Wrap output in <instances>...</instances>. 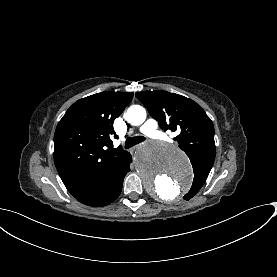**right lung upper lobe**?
I'll use <instances>...</instances> for the list:
<instances>
[{"instance_id": "right-lung-upper-lobe-1", "label": "right lung upper lobe", "mask_w": 277, "mask_h": 277, "mask_svg": "<svg viewBox=\"0 0 277 277\" xmlns=\"http://www.w3.org/2000/svg\"><path fill=\"white\" fill-rule=\"evenodd\" d=\"M131 92L104 91L76 101L59 121L54 135V162L76 196L99 181L126 155L112 148L114 120L133 98ZM109 148V149H107Z\"/></svg>"}]
</instances>
